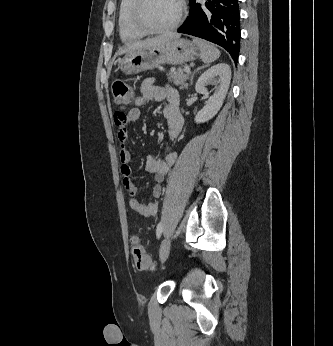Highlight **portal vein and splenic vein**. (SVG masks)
Returning <instances> with one entry per match:
<instances>
[{
  "label": "portal vein and splenic vein",
  "instance_id": "obj_1",
  "mask_svg": "<svg viewBox=\"0 0 333 346\" xmlns=\"http://www.w3.org/2000/svg\"><path fill=\"white\" fill-rule=\"evenodd\" d=\"M184 71H185L186 73H190V68H189V67H185Z\"/></svg>",
  "mask_w": 333,
  "mask_h": 346
}]
</instances>
